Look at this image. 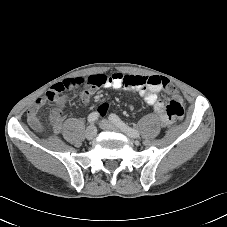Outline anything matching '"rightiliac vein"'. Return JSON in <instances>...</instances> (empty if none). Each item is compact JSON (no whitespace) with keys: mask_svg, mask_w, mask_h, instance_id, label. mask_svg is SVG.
Masks as SVG:
<instances>
[{"mask_svg":"<svg viewBox=\"0 0 227 227\" xmlns=\"http://www.w3.org/2000/svg\"><path fill=\"white\" fill-rule=\"evenodd\" d=\"M97 134V129L95 126L91 125L86 129L85 136L88 140L93 139Z\"/></svg>","mask_w":227,"mask_h":227,"instance_id":"63e3f726","label":"right iliac vein"}]
</instances>
